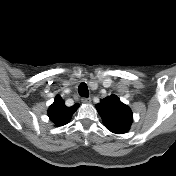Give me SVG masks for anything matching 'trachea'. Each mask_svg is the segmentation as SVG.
<instances>
[{
	"mask_svg": "<svg viewBox=\"0 0 176 176\" xmlns=\"http://www.w3.org/2000/svg\"><path fill=\"white\" fill-rule=\"evenodd\" d=\"M79 94L82 96V97H88V94H89V91H88V87H87V84L82 82L80 85H79Z\"/></svg>",
	"mask_w": 176,
	"mask_h": 176,
	"instance_id": "obj_1",
	"label": "trachea"
}]
</instances>
